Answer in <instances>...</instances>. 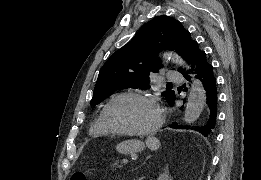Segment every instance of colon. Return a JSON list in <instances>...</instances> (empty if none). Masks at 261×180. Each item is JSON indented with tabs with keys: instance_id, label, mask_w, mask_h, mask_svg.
<instances>
[{
	"instance_id": "colon-1",
	"label": "colon",
	"mask_w": 261,
	"mask_h": 180,
	"mask_svg": "<svg viewBox=\"0 0 261 180\" xmlns=\"http://www.w3.org/2000/svg\"><path fill=\"white\" fill-rule=\"evenodd\" d=\"M86 176L83 172H75L72 175V180H85Z\"/></svg>"
}]
</instances>
